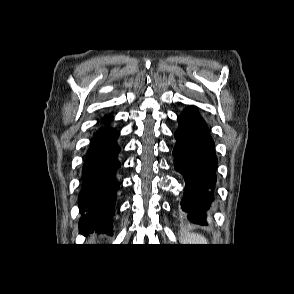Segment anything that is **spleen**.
I'll list each match as a JSON object with an SVG mask.
<instances>
[{
  "label": "spleen",
  "mask_w": 294,
  "mask_h": 294,
  "mask_svg": "<svg viewBox=\"0 0 294 294\" xmlns=\"http://www.w3.org/2000/svg\"><path fill=\"white\" fill-rule=\"evenodd\" d=\"M183 244H207V240L200 234H185L182 238Z\"/></svg>",
  "instance_id": "spleen-1"
}]
</instances>
